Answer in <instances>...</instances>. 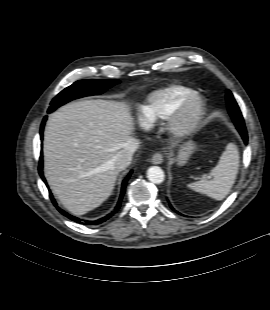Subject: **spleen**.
<instances>
[{
  "mask_svg": "<svg viewBox=\"0 0 270 310\" xmlns=\"http://www.w3.org/2000/svg\"><path fill=\"white\" fill-rule=\"evenodd\" d=\"M238 168L239 152L237 147L230 143L222 153L218 164L211 170L212 179L193 182L188 184V187L215 200H223L235 183Z\"/></svg>",
  "mask_w": 270,
  "mask_h": 310,
  "instance_id": "3e777b00",
  "label": "spleen"
}]
</instances>
